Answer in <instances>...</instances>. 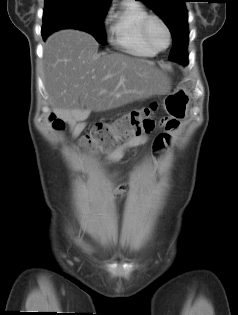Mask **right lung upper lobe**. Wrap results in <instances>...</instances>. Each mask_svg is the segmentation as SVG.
Masks as SVG:
<instances>
[{
	"mask_svg": "<svg viewBox=\"0 0 238 315\" xmlns=\"http://www.w3.org/2000/svg\"><path fill=\"white\" fill-rule=\"evenodd\" d=\"M93 1H97V2H100V3L106 4V5H110V1L111 0H93Z\"/></svg>",
	"mask_w": 238,
	"mask_h": 315,
	"instance_id": "1",
	"label": "right lung upper lobe"
}]
</instances>
